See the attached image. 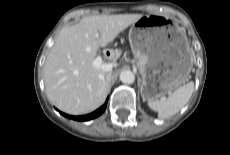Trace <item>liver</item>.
<instances>
[{
  "label": "liver",
  "mask_w": 230,
  "mask_h": 155,
  "mask_svg": "<svg viewBox=\"0 0 230 155\" xmlns=\"http://www.w3.org/2000/svg\"><path fill=\"white\" fill-rule=\"evenodd\" d=\"M143 17L142 14L98 15L62 28L44 64V83L48 98L60 110L86 114L101 106L110 82L93 65L99 47Z\"/></svg>",
  "instance_id": "6515ba94"
}]
</instances>
